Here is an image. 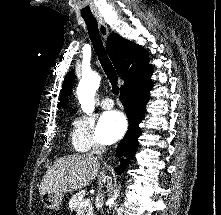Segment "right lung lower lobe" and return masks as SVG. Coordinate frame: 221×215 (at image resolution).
Wrapping results in <instances>:
<instances>
[{
  "instance_id": "98d812e1",
  "label": "right lung lower lobe",
  "mask_w": 221,
  "mask_h": 215,
  "mask_svg": "<svg viewBox=\"0 0 221 215\" xmlns=\"http://www.w3.org/2000/svg\"><path fill=\"white\" fill-rule=\"evenodd\" d=\"M151 74L138 82L137 84L121 90L120 100L124 105L125 112L129 120V127L125 137L117 147V155L126 159L120 158L121 165L116 168V172L121 174L132 159L138 149V137L141 134V129L138 124L143 120L146 104L149 99V91L152 88L153 82Z\"/></svg>"
}]
</instances>
